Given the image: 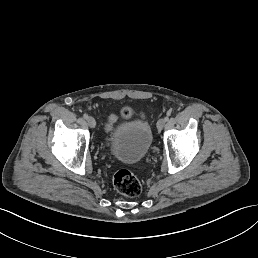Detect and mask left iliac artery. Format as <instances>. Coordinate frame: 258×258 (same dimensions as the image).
Instances as JSON below:
<instances>
[{
	"mask_svg": "<svg viewBox=\"0 0 258 258\" xmlns=\"http://www.w3.org/2000/svg\"><path fill=\"white\" fill-rule=\"evenodd\" d=\"M164 120H165V121H168V120H169V117H168V116H165V117H164Z\"/></svg>",
	"mask_w": 258,
	"mask_h": 258,
	"instance_id": "left-iliac-artery-1",
	"label": "left iliac artery"
}]
</instances>
